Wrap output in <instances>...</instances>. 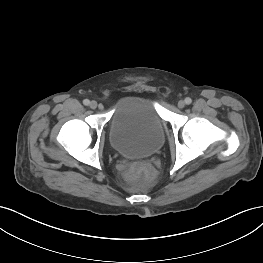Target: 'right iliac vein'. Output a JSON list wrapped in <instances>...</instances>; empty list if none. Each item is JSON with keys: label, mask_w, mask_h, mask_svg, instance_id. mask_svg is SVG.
<instances>
[{"label": "right iliac vein", "mask_w": 263, "mask_h": 263, "mask_svg": "<svg viewBox=\"0 0 263 263\" xmlns=\"http://www.w3.org/2000/svg\"><path fill=\"white\" fill-rule=\"evenodd\" d=\"M89 106H90L91 109H96L97 106H98V104H97L96 101H91L90 104H89Z\"/></svg>", "instance_id": "1"}]
</instances>
